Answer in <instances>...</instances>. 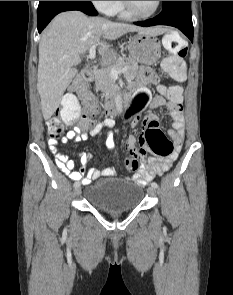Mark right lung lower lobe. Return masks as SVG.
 Listing matches in <instances>:
<instances>
[{"mask_svg":"<svg viewBox=\"0 0 233 295\" xmlns=\"http://www.w3.org/2000/svg\"><path fill=\"white\" fill-rule=\"evenodd\" d=\"M71 10H79L91 16L98 14L91 1H40L37 11L38 32L40 33L58 13Z\"/></svg>","mask_w":233,"mask_h":295,"instance_id":"1","label":"right lung lower lobe"}]
</instances>
